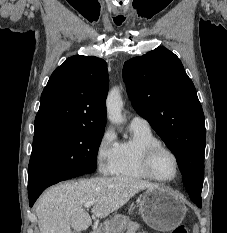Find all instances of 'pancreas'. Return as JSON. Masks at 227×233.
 Masks as SVG:
<instances>
[{
  "instance_id": "obj_1",
  "label": "pancreas",
  "mask_w": 227,
  "mask_h": 233,
  "mask_svg": "<svg viewBox=\"0 0 227 233\" xmlns=\"http://www.w3.org/2000/svg\"><path fill=\"white\" fill-rule=\"evenodd\" d=\"M139 227L140 225L138 223L133 221H128L126 233H135Z\"/></svg>"
}]
</instances>
